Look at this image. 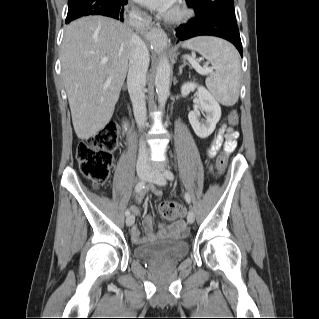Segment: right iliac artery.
I'll use <instances>...</instances> for the list:
<instances>
[{
    "label": "right iliac artery",
    "instance_id": "right-iliac-artery-1",
    "mask_svg": "<svg viewBox=\"0 0 319 319\" xmlns=\"http://www.w3.org/2000/svg\"><path fill=\"white\" fill-rule=\"evenodd\" d=\"M145 184H146V181H140L136 187H135V191L137 193L141 192L144 188H145ZM126 216H129L130 215V211L129 210H126L125 212Z\"/></svg>",
    "mask_w": 319,
    "mask_h": 319
}]
</instances>
